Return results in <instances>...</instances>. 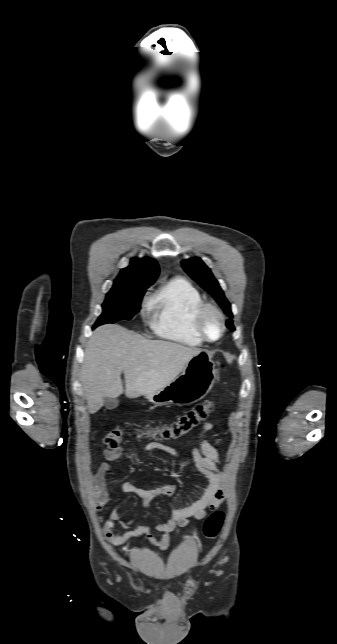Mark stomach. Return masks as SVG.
I'll return each instance as SVG.
<instances>
[{
    "label": "stomach",
    "instance_id": "stomach-1",
    "mask_svg": "<svg viewBox=\"0 0 337 644\" xmlns=\"http://www.w3.org/2000/svg\"><path fill=\"white\" fill-rule=\"evenodd\" d=\"M215 379L216 370L211 355L202 350L189 360L180 376L162 389L144 396L156 406L190 405L208 395Z\"/></svg>",
    "mask_w": 337,
    "mask_h": 644
}]
</instances>
